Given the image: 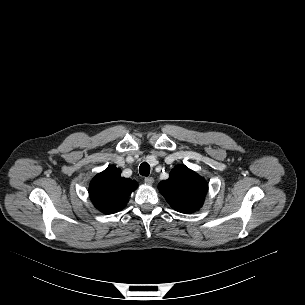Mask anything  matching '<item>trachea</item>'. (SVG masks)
<instances>
[{"label":"trachea","mask_w":305,"mask_h":305,"mask_svg":"<svg viewBox=\"0 0 305 305\" xmlns=\"http://www.w3.org/2000/svg\"><path fill=\"white\" fill-rule=\"evenodd\" d=\"M139 172L142 176H148L150 174V166L147 162H143L139 167Z\"/></svg>","instance_id":"1"}]
</instances>
